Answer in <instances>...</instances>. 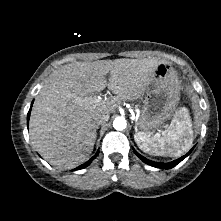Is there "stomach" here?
<instances>
[{
  "mask_svg": "<svg viewBox=\"0 0 221 221\" xmlns=\"http://www.w3.org/2000/svg\"><path fill=\"white\" fill-rule=\"evenodd\" d=\"M147 91L138 127L144 132L157 129L170 119L180 100L181 81L170 63H160Z\"/></svg>",
  "mask_w": 221,
  "mask_h": 221,
  "instance_id": "0dacf381",
  "label": "stomach"
}]
</instances>
